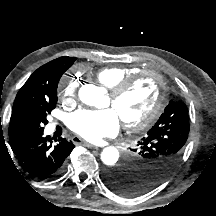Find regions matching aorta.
<instances>
[{"label": "aorta", "instance_id": "obj_1", "mask_svg": "<svg viewBox=\"0 0 216 216\" xmlns=\"http://www.w3.org/2000/svg\"><path fill=\"white\" fill-rule=\"evenodd\" d=\"M80 100L91 106L98 107L102 99L105 97V91L94 85H83L79 90ZM119 160V151L113 146H108L101 152V161L107 166L115 165Z\"/></svg>", "mask_w": 216, "mask_h": 216}]
</instances>
